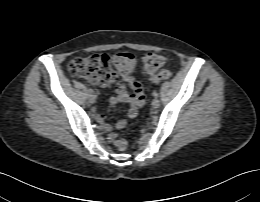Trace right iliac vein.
<instances>
[{
  "mask_svg": "<svg viewBox=\"0 0 260 202\" xmlns=\"http://www.w3.org/2000/svg\"><path fill=\"white\" fill-rule=\"evenodd\" d=\"M88 100L90 103H95L96 97L93 94H91V95H89Z\"/></svg>",
  "mask_w": 260,
  "mask_h": 202,
  "instance_id": "right-iliac-vein-1",
  "label": "right iliac vein"
}]
</instances>
